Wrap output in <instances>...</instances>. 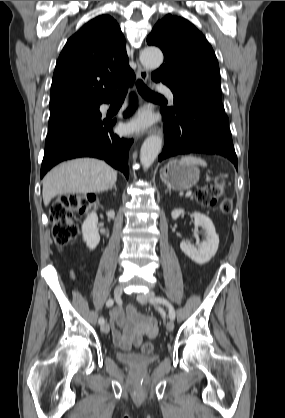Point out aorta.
Masks as SVG:
<instances>
[{"mask_svg":"<svg viewBox=\"0 0 285 418\" xmlns=\"http://www.w3.org/2000/svg\"><path fill=\"white\" fill-rule=\"evenodd\" d=\"M140 61L146 68H158L163 62V53L155 47L145 48L140 54ZM161 148L162 138L159 136H150L144 141L140 150V161L145 169L153 164Z\"/></svg>","mask_w":285,"mask_h":418,"instance_id":"obj_1","label":"aorta"}]
</instances>
